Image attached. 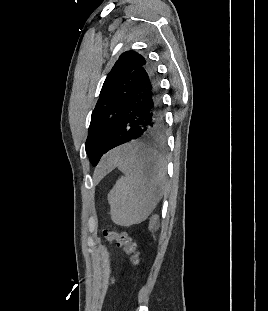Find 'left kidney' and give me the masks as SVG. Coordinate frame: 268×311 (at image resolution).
<instances>
[{
    "label": "left kidney",
    "mask_w": 268,
    "mask_h": 311,
    "mask_svg": "<svg viewBox=\"0 0 268 311\" xmlns=\"http://www.w3.org/2000/svg\"><path fill=\"white\" fill-rule=\"evenodd\" d=\"M157 221H158V217L157 216H154L150 222V225H149V228L150 230H154L156 225H157Z\"/></svg>",
    "instance_id": "obj_1"
}]
</instances>
